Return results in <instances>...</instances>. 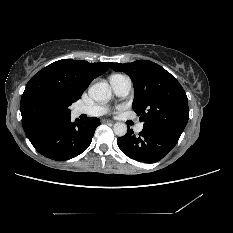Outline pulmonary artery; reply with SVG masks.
Masks as SVG:
<instances>
[{"label":"pulmonary artery","instance_id":"1","mask_svg":"<svg viewBox=\"0 0 233 233\" xmlns=\"http://www.w3.org/2000/svg\"><path fill=\"white\" fill-rule=\"evenodd\" d=\"M110 84L114 93L118 96H126L132 86L131 79L125 75H113L110 78ZM107 112V109L102 105H80L74 108L73 113L76 116H100ZM143 125L137 124L135 130L142 131Z\"/></svg>","mask_w":233,"mask_h":233}]
</instances>
